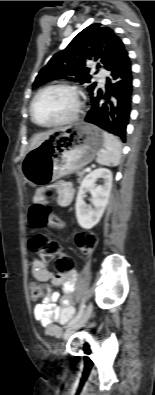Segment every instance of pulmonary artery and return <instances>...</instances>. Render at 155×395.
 I'll return each instance as SVG.
<instances>
[{
  "label": "pulmonary artery",
  "mask_w": 155,
  "mask_h": 395,
  "mask_svg": "<svg viewBox=\"0 0 155 395\" xmlns=\"http://www.w3.org/2000/svg\"><path fill=\"white\" fill-rule=\"evenodd\" d=\"M97 81L99 83L100 86H103L105 84V80H106V74L104 71H100L97 75H96Z\"/></svg>",
  "instance_id": "1"
}]
</instances>
